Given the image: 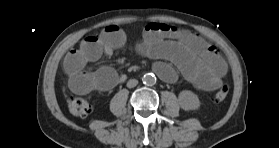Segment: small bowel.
Returning a JSON list of instances; mask_svg holds the SVG:
<instances>
[{
  "label": "small bowel",
  "instance_id": "small-bowel-1",
  "mask_svg": "<svg viewBox=\"0 0 279 148\" xmlns=\"http://www.w3.org/2000/svg\"><path fill=\"white\" fill-rule=\"evenodd\" d=\"M126 40L123 29L109 25L100 34L87 36L76 48L70 49L63 59V68L71 90L86 94L114 88L120 77L112 67L103 66L96 72H89L86 66L103 54L123 47ZM135 50L156 60L154 71L170 83L177 79V73L164 61L175 65L187 81L205 91L219 88L227 72V65L217 49L199 34L163 23L148 24Z\"/></svg>",
  "mask_w": 279,
  "mask_h": 148
}]
</instances>
